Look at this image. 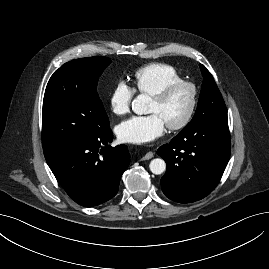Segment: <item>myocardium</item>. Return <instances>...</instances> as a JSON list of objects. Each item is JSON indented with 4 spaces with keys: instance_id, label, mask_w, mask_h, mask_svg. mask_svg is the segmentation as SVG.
<instances>
[{
    "instance_id": "f54148a6",
    "label": "myocardium",
    "mask_w": 269,
    "mask_h": 269,
    "mask_svg": "<svg viewBox=\"0 0 269 269\" xmlns=\"http://www.w3.org/2000/svg\"><path fill=\"white\" fill-rule=\"evenodd\" d=\"M180 87H187L190 89L191 100L185 115L179 121L166 125L171 130H180L191 121L198 102V89L196 85L191 81L180 80L167 84L161 90L151 95V98L162 102L167 100L169 96Z\"/></svg>"
}]
</instances>
